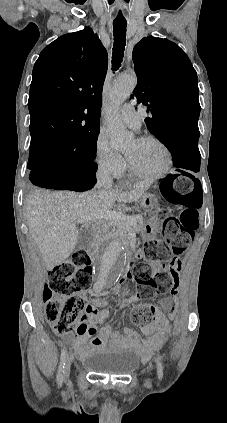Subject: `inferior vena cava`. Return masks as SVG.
Masks as SVG:
<instances>
[{
    "label": "inferior vena cava",
    "mask_w": 227,
    "mask_h": 423,
    "mask_svg": "<svg viewBox=\"0 0 227 423\" xmlns=\"http://www.w3.org/2000/svg\"><path fill=\"white\" fill-rule=\"evenodd\" d=\"M97 184L96 188L106 192L112 188L113 180L110 176V170L106 164H99V168L96 172Z\"/></svg>",
    "instance_id": "obj_1"
}]
</instances>
